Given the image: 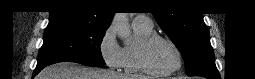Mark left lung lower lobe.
I'll return each instance as SVG.
<instances>
[{
    "label": "left lung lower lobe",
    "instance_id": "0a47b994",
    "mask_svg": "<svg viewBox=\"0 0 255 79\" xmlns=\"http://www.w3.org/2000/svg\"><path fill=\"white\" fill-rule=\"evenodd\" d=\"M200 76L206 77L207 79H220L219 74H203Z\"/></svg>",
    "mask_w": 255,
    "mask_h": 79
}]
</instances>
